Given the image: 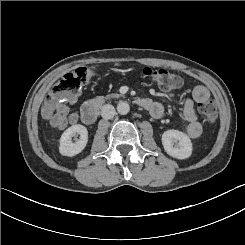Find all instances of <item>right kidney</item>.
I'll use <instances>...</instances> for the list:
<instances>
[{"mask_svg": "<svg viewBox=\"0 0 245 245\" xmlns=\"http://www.w3.org/2000/svg\"><path fill=\"white\" fill-rule=\"evenodd\" d=\"M77 135H80L77 139ZM64 156H75L79 154L86 146L88 141V131L83 125L76 124L64 131ZM74 137L75 142L72 141Z\"/></svg>", "mask_w": 245, "mask_h": 245, "instance_id": "right-kidney-1", "label": "right kidney"}]
</instances>
